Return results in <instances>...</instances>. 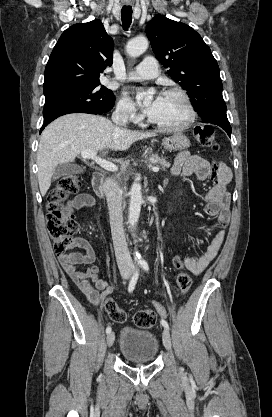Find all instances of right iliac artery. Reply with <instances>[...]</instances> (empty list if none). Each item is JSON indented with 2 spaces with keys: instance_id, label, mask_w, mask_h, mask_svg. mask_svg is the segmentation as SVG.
Wrapping results in <instances>:
<instances>
[{
  "instance_id": "1",
  "label": "right iliac artery",
  "mask_w": 272,
  "mask_h": 417,
  "mask_svg": "<svg viewBox=\"0 0 272 417\" xmlns=\"http://www.w3.org/2000/svg\"><path fill=\"white\" fill-rule=\"evenodd\" d=\"M138 276H139V272H138V270H136V271L134 272V274H133V276H132V278H131L130 282H129V286H128V291H129V292H132V291L134 290L135 285H136L137 280H138ZM110 332H111V327H110V326H108V327L106 328V333H107V334H109Z\"/></svg>"
}]
</instances>
